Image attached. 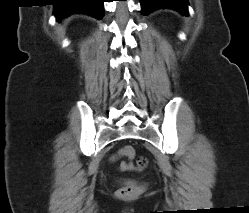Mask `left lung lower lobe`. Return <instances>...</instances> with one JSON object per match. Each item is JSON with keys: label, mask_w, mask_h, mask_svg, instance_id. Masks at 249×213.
I'll return each instance as SVG.
<instances>
[{"label": "left lung lower lobe", "mask_w": 249, "mask_h": 213, "mask_svg": "<svg viewBox=\"0 0 249 213\" xmlns=\"http://www.w3.org/2000/svg\"><path fill=\"white\" fill-rule=\"evenodd\" d=\"M187 0H141L142 14L145 15L148 12L157 8L168 7L173 8L184 15L188 14Z\"/></svg>", "instance_id": "obj_1"}]
</instances>
